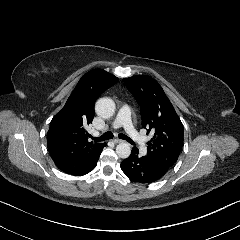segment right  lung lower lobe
I'll use <instances>...</instances> for the list:
<instances>
[{
  "label": "right lung lower lobe",
  "instance_id": "98d812e1",
  "mask_svg": "<svg viewBox=\"0 0 240 240\" xmlns=\"http://www.w3.org/2000/svg\"><path fill=\"white\" fill-rule=\"evenodd\" d=\"M98 158H99V156L97 158H95L92 162H90V164L87 167H85L84 169H82L76 173H73L71 175L82 176V175H85V174L91 172L95 168Z\"/></svg>",
  "mask_w": 240,
  "mask_h": 240
}]
</instances>
